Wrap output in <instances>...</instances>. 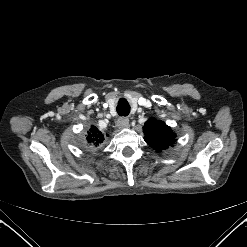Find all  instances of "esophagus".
Here are the masks:
<instances>
[{"instance_id":"esophagus-1","label":"esophagus","mask_w":247,"mask_h":247,"mask_svg":"<svg viewBox=\"0 0 247 247\" xmlns=\"http://www.w3.org/2000/svg\"><path fill=\"white\" fill-rule=\"evenodd\" d=\"M129 126V119L126 117H121L118 119L117 121V127L119 129H124L127 128Z\"/></svg>"}]
</instances>
